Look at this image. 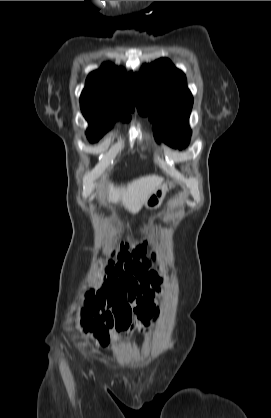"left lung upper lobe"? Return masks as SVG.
Returning a JSON list of instances; mask_svg holds the SVG:
<instances>
[{"instance_id":"1","label":"left lung upper lobe","mask_w":271,"mask_h":418,"mask_svg":"<svg viewBox=\"0 0 271 418\" xmlns=\"http://www.w3.org/2000/svg\"><path fill=\"white\" fill-rule=\"evenodd\" d=\"M137 109L153 122L156 140L183 148L189 143V116L193 97L187 88L184 73L170 60L161 58L145 65L135 75Z\"/></svg>"}]
</instances>
